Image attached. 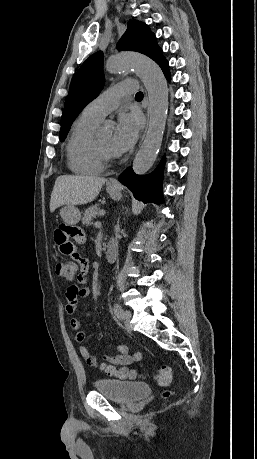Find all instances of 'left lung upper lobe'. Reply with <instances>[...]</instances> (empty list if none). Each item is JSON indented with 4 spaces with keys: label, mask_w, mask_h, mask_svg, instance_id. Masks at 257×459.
<instances>
[{
    "label": "left lung upper lobe",
    "mask_w": 257,
    "mask_h": 459,
    "mask_svg": "<svg viewBox=\"0 0 257 459\" xmlns=\"http://www.w3.org/2000/svg\"><path fill=\"white\" fill-rule=\"evenodd\" d=\"M118 50L136 51L147 55L157 64L164 58L155 35L142 22H128L127 30L118 42ZM104 86L103 53L91 55L80 67L71 81L69 94L61 118L60 140L67 133L83 108L95 99Z\"/></svg>",
    "instance_id": "obj_1"
}]
</instances>
